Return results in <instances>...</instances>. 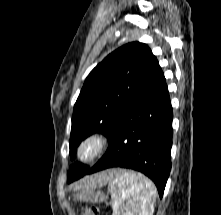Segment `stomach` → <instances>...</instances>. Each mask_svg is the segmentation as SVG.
<instances>
[{
    "label": "stomach",
    "mask_w": 221,
    "mask_h": 215,
    "mask_svg": "<svg viewBox=\"0 0 221 215\" xmlns=\"http://www.w3.org/2000/svg\"><path fill=\"white\" fill-rule=\"evenodd\" d=\"M74 199L80 202L101 203L107 199V196L96 188L81 189L74 195Z\"/></svg>",
    "instance_id": "0dacf381"
}]
</instances>
